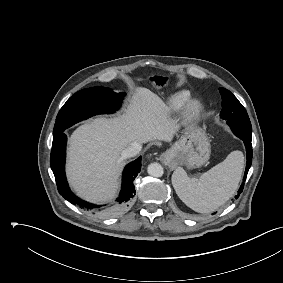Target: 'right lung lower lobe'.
Masks as SVG:
<instances>
[{"label": "right lung lower lobe", "instance_id": "98d812e1", "mask_svg": "<svg viewBox=\"0 0 283 283\" xmlns=\"http://www.w3.org/2000/svg\"><path fill=\"white\" fill-rule=\"evenodd\" d=\"M66 141L67 137L64 133L53 138L50 165L55 176L58 191L67 201L92 213L111 214L125 206L133 198L135 194L133 181L141 170V157L129 163L124 169L122 189L117 199L118 204L110 209L100 208V205L83 201L71 192L65 176Z\"/></svg>", "mask_w": 283, "mask_h": 283}]
</instances>
